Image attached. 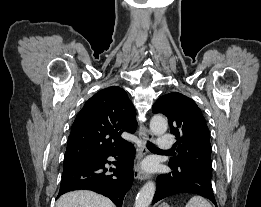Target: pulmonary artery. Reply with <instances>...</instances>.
Segmentation results:
<instances>
[{"label": "pulmonary artery", "instance_id": "pulmonary-artery-1", "mask_svg": "<svg viewBox=\"0 0 261 207\" xmlns=\"http://www.w3.org/2000/svg\"><path fill=\"white\" fill-rule=\"evenodd\" d=\"M158 147L163 150L167 151L173 147V139L172 136L169 134H163L158 138Z\"/></svg>", "mask_w": 261, "mask_h": 207}]
</instances>
